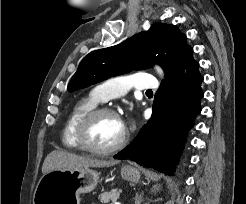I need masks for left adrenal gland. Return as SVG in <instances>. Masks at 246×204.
Instances as JSON below:
<instances>
[{"label": "left adrenal gland", "instance_id": "obj_1", "mask_svg": "<svg viewBox=\"0 0 246 204\" xmlns=\"http://www.w3.org/2000/svg\"><path fill=\"white\" fill-rule=\"evenodd\" d=\"M141 196L137 199V202H136V204H140V202H141Z\"/></svg>", "mask_w": 246, "mask_h": 204}]
</instances>
